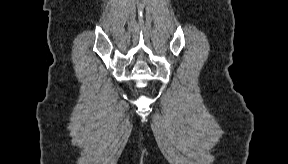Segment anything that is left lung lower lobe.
I'll return each mask as SVG.
<instances>
[{
	"instance_id": "0a47b994",
	"label": "left lung lower lobe",
	"mask_w": 288,
	"mask_h": 164,
	"mask_svg": "<svg viewBox=\"0 0 288 164\" xmlns=\"http://www.w3.org/2000/svg\"><path fill=\"white\" fill-rule=\"evenodd\" d=\"M248 78H252L254 80V89H261L266 82L263 72L258 69H255L254 72L248 76Z\"/></svg>"
}]
</instances>
